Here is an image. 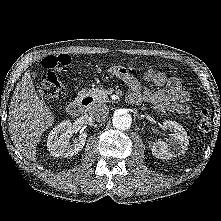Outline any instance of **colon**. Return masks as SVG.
<instances>
[{
    "label": "colon",
    "mask_w": 221,
    "mask_h": 221,
    "mask_svg": "<svg viewBox=\"0 0 221 221\" xmlns=\"http://www.w3.org/2000/svg\"><path fill=\"white\" fill-rule=\"evenodd\" d=\"M71 64V57L67 54L50 55L42 60V66L47 72L40 78L38 89L40 95L48 100H59L65 95V86L58 80L54 72L65 71ZM157 72L154 69L148 71L150 77ZM211 115L208 109L203 108L198 115V128L202 133L211 130Z\"/></svg>",
    "instance_id": "1"
}]
</instances>
